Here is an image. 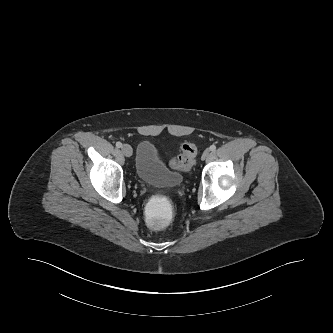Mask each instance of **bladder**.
<instances>
[{
	"mask_svg": "<svg viewBox=\"0 0 333 333\" xmlns=\"http://www.w3.org/2000/svg\"><path fill=\"white\" fill-rule=\"evenodd\" d=\"M135 170L138 178L149 184L177 187L182 183V175L165 164L149 140L138 145Z\"/></svg>",
	"mask_w": 333,
	"mask_h": 333,
	"instance_id": "obj_1",
	"label": "bladder"
}]
</instances>
